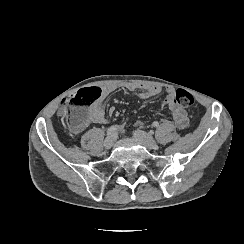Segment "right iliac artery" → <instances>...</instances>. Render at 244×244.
Here are the masks:
<instances>
[{
    "mask_svg": "<svg viewBox=\"0 0 244 244\" xmlns=\"http://www.w3.org/2000/svg\"><path fill=\"white\" fill-rule=\"evenodd\" d=\"M118 128H119V126H117V125H113V126H111V127L107 130V132H106V136H107V137L112 136V135L118 130Z\"/></svg>",
    "mask_w": 244,
    "mask_h": 244,
    "instance_id": "1",
    "label": "right iliac artery"
}]
</instances>
